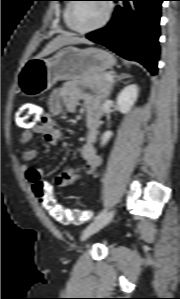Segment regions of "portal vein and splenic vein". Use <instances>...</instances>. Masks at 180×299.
<instances>
[{
    "mask_svg": "<svg viewBox=\"0 0 180 299\" xmlns=\"http://www.w3.org/2000/svg\"><path fill=\"white\" fill-rule=\"evenodd\" d=\"M107 80L110 81V82H112V81H113V75H112V74H109V75L107 76Z\"/></svg>",
    "mask_w": 180,
    "mask_h": 299,
    "instance_id": "18ae733b",
    "label": "portal vein and splenic vein"
}]
</instances>
